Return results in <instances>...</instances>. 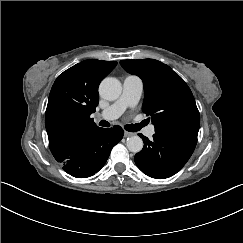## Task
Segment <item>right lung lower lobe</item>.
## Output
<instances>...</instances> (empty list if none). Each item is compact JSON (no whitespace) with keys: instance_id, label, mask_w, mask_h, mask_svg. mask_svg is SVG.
<instances>
[{"instance_id":"98d812e1","label":"right lung lower lobe","mask_w":243,"mask_h":243,"mask_svg":"<svg viewBox=\"0 0 243 243\" xmlns=\"http://www.w3.org/2000/svg\"><path fill=\"white\" fill-rule=\"evenodd\" d=\"M123 134L120 126L92 130L63 154V169L73 177L94 175L104 166Z\"/></svg>"}]
</instances>
